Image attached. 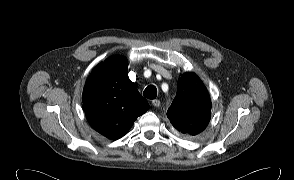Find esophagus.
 I'll use <instances>...</instances> for the list:
<instances>
[{"instance_id": "34e87169", "label": "esophagus", "mask_w": 294, "mask_h": 180, "mask_svg": "<svg viewBox=\"0 0 294 180\" xmlns=\"http://www.w3.org/2000/svg\"><path fill=\"white\" fill-rule=\"evenodd\" d=\"M152 105L154 106V107H159L160 106V101L159 100H157V99H155V100H152Z\"/></svg>"}]
</instances>
